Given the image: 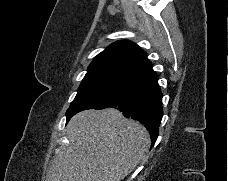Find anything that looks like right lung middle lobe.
<instances>
[{"label":"right lung middle lobe","mask_w":228,"mask_h":181,"mask_svg":"<svg viewBox=\"0 0 228 181\" xmlns=\"http://www.w3.org/2000/svg\"><path fill=\"white\" fill-rule=\"evenodd\" d=\"M131 80L117 77H85L66 112L67 121L76 113L99 106L119 94Z\"/></svg>","instance_id":"dd1d6c3e"}]
</instances>
